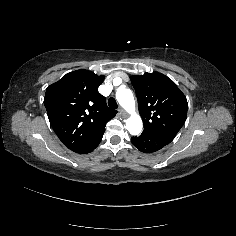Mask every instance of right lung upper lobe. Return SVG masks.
Segmentation results:
<instances>
[{"label":"right lung upper lobe","mask_w":236,"mask_h":236,"mask_svg":"<svg viewBox=\"0 0 236 236\" xmlns=\"http://www.w3.org/2000/svg\"><path fill=\"white\" fill-rule=\"evenodd\" d=\"M103 81V75L80 69L46 90L44 105L50 124L72 151L100 138L106 123L117 113L107 107L105 97L98 93Z\"/></svg>","instance_id":"cb5924a9"}]
</instances>
